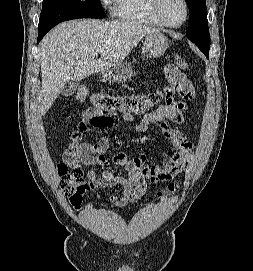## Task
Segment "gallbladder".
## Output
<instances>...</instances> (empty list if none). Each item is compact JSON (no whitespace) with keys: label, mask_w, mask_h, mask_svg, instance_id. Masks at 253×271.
I'll list each match as a JSON object with an SVG mask.
<instances>
[{"label":"gallbladder","mask_w":253,"mask_h":271,"mask_svg":"<svg viewBox=\"0 0 253 271\" xmlns=\"http://www.w3.org/2000/svg\"><path fill=\"white\" fill-rule=\"evenodd\" d=\"M77 84L73 81H68L65 83L63 89L61 90V95L63 97H69L76 92Z\"/></svg>","instance_id":"obj_1"}]
</instances>
